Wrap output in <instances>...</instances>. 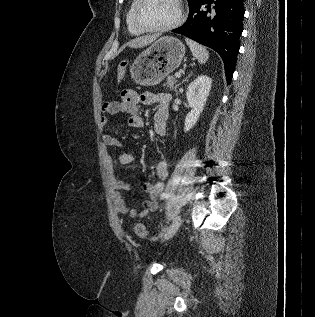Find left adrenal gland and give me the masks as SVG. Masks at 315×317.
<instances>
[{
  "mask_svg": "<svg viewBox=\"0 0 315 317\" xmlns=\"http://www.w3.org/2000/svg\"><path fill=\"white\" fill-rule=\"evenodd\" d=\"M188 77H189V76H188ZM188 77H186L184 81H186Z\"/></svg>",
  "mask_w": 315,
  "mask_h": 317,
  "instance_id": "1",
  "label": "left adrenal gland"
}]
</instances>
